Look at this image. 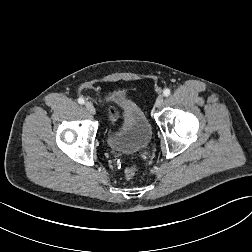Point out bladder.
<instances>
[{
  "instance_id": "1",
  "label": "bladder",
  "mask_w": 252,
  "mask_h": 252,
  "mask_svg": "<svg viewBox=\"0 0 252 252\" xmlns=\"http://www.w3.org/2000/svg\"><path fill=\"white\" fill-rule=\"evenodd\" d=\"M121 127L118 131L107 130L105 141L108 148L123 154L136 153L151 141L152 128L143 110L133 101L118 103Z\"/></svg>"
}]
</instances>
